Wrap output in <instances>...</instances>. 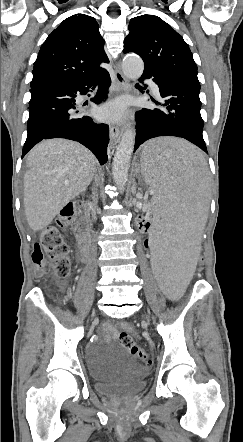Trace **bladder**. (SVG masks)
<instances>
[{
    "instance_id": "31cf9c89",
    "label": "bladder",
    "mask_w": 243,
    "mask_h": 442,
    "mask_svg": "<svg viewBox=\"0 0 243 442\" xmlns=\"http://www.w3.org/2000/svg\"><path fill=\"white\" fill-rule=\"evenodd\" d=\"M88 370L95 380L96 392L104 396L126 398L136 395L146 386V369L128 357L94 358L89 362Z\"/></svg>"
}]
</instances>
